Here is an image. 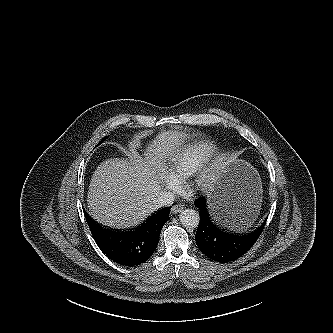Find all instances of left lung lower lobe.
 Returning <instances> with one entry per match:
<instances>
[{"mask_svg":"<svg viewBox=\"0 0 333 333\" xmlns=\"http://www.w3.org/2000/svg\"><path fill=\"white\" fill-rule=\"evenodd\" d=\"M199 208L200 222L195 240L200 251L210 259L228 263L244 255L261 235L265 221L249 234H239L219 227L208 213L206 199L200 197L194 202Z\"/></svg>","mask_w":333,"mask_h":333,"instance_id":"0a47b994","label":"left lung lower lobe"}]
</instances>
